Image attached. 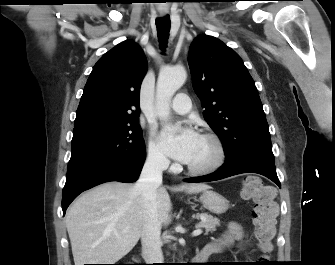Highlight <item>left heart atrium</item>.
<instances>
[{"label": "left heart atrium", "mask_w": 335, "mask_h": 265, "mask_svg": "<svg viewBox=\"0 0 335 265\" xmlns=\"http://www.w3.org/2000/svg\"><path fill=\"white\" fill-rule=\"evenodd\" d=\"M199 138L200 135L191 127L177 130L167 126L161 134V140L167 154L183 163H188L191 160Z\"/></svg>", "instance_id": "left-heart-atrium-1"}]
</instances>
